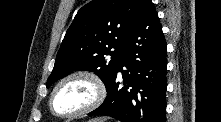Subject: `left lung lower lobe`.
Returning a JSON list of instances; mask_svg holds the SVG:
<instances>
[{
  "label": "left lung lower lobe",
  "mask_w": 221,
  "mask_h": 122,
  "mask_svg": "<svg viewBox=\"0 0 221 122\" xmlns=\"http://www.w3.org/2000/svg\"><path fill=\"white\" fill-rule=\"evenodd\" d=\"M166 70V42L157 12L151 0H140L107 97L89 115L121 122H166ZM118 72L122 73V88Z\"/></svg>",
  "instance_id": "left-lung-lower-lobe-1"
}]
</instances>
